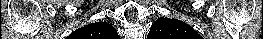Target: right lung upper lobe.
<instances>
[{"instance_id":"right-lung-upper-lobe-1","label":"right lung upper lobe","mask_w":263,"mask_h":39,"mask_svg":"<svg viewBox=\"0 0 263 39\" xmlns=\"http://www.w3.org/2000/svg\"><path fill=\"white\" fill-rule=\"evenodd\" d=\"M75 35L82 39H119L117 31L112 25L106 22H96L79 28Z\"/></svg>"}]
</instances>
